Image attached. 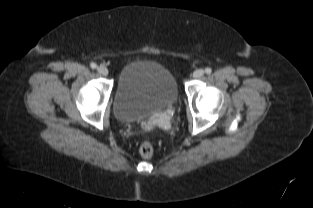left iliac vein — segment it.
Segmentation results:
<instances>
[{"label":"left iliac vein","mask_w":313,"mask_h":208,"mask_svg":"<svg viewBox=\"0 0 313 208\" xmlns=\"http://www.w3.org/2000/svg\"><path fill=\"white\" fill-rule=\"evenodd\" d=\"M204 75V70L203 69H197L193 72V77L194 78H201Z\"/></svg>","instance_id":"obj_1"}]
</instances>
